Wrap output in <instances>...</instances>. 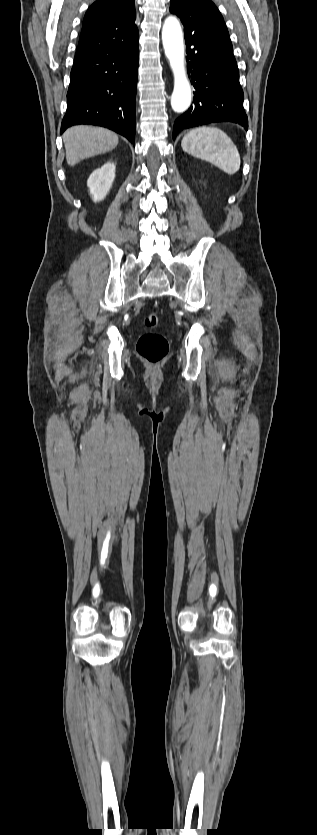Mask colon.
<instances>
[{
	"label": "colon",
	"mask_w": 317,
	"mask_h": 835,
	"mask_svg": "<svg viewBox=\"0 0 317 835\" xmlns=\"http://www.w3.org/2000/svg\"><path fill=\"white\" fill-rule=\"evenodd\" d=\"M158 323L159 317L155 313H151L145 318V325L147 327H156ZM168 350L169 346L166 338L157 333H146L139 338L137 343L138 355L152 365L161 363L166 357Z\"/></svg>",
	"instance_id": "colon-1"
}]
</instances>
